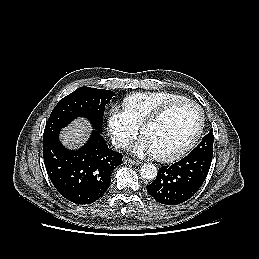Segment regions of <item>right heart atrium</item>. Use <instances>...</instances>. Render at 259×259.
<instances>
[{
  "label": "right heart atrium",
  "mask_w": 259,
  "mask_h": 259,
  "mask_svg": "<svg viewBox=\"0 0 259 259\" xmlns=\"http://www.w3.org/2000/svg\"><path fill=\"white\" fill-rule=\"evenodd\" d=\"M108 128L113 144L118 148H126L138 133V126L133 123L125 106L119 104L110 108Z\"/></svg>",
  "instance_id": "d8ad5b80"
}]
</instances>
